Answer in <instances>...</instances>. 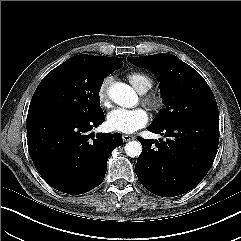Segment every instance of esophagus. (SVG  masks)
<instances>
[{
    "instance_id": "obj_1",
    "label": "esophagus",
    "mask_w": 241,
    "mask_h": 241,
    "mask_svg": "<svg viewBox=\"0 0 241 241\" xmlns=\"http://www.w3.org/2000/svg\"><path fill=\"white\" fill-rule=\"evenodd\" d=\"M122 139H123V141L128 142V141H130V140L135 139V137L132 136V135L124 134V135L122 136Z\"/></svg>"
}]
</instances>
